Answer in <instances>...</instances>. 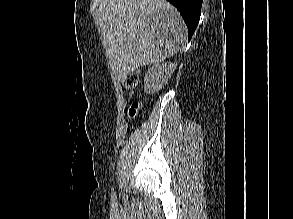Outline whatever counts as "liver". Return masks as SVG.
I'll return each mask as SVG.
<instances>
[{
  "instance_id": "liver-1",
  "label": "liver",
  "mask_w": 293,
  "mask_h": 219,
  "mask_svg": "<svg viewBox=\"0 0 293 219\" xmlns=\"http://www.w3.org/2000/svg\"><path fill=\"white\" fill-rule=\"evenodd\" d=\"M98 30L117 81L177 53L187 27L166 0H100Z\"/></svg>"
}]
</instances>
